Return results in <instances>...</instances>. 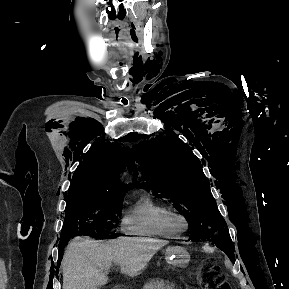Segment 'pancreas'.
<instances>
[{"instance_id": "obj_1", "label": "pancreas", "mask_w": 289, "mask_h": 289, "mask_svg": "<svg viewBox=\"0 0 289 289\" xmlns=\"http://www.w3.org/2000/svg\"><path fill=\"white\" fill-rule=\"evenodd\" d=\"M143 289H173V286L162 279H153L147 282Z\"/></svg>"}]
</instances>
